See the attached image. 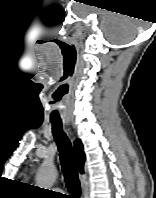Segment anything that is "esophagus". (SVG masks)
Wrapping results in <instances>:
<instances>
[{"label":"esophagus","instance_id":"esophagus-1","mask_svg":"<svg viewBox=\"0 0 156 198\" xmlns=\"http://www.w3.org/2000/svg\"><path fill=\"white\" fill-rule=\"evenodd\" d=\"M82 196H83L82 198H86V193L83 188H82Z\"/></svg>","mask_w":156,"mask_h":198}]
</instances>
